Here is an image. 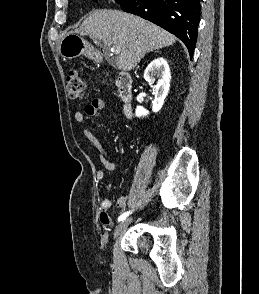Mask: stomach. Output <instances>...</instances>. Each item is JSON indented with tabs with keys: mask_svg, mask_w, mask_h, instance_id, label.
<instances>
[{
	"mask_svg": "<svg viewBox=\"0 0 259 294\" xmlns=\"http://www.w3.org/2000/svg\"><path fill=\"white\" fill-rule=\"evenodd\" d=\"M59 53L68 59L76 58L80 55L94 58L96 55L89 43L75 31H70L63 36L59 44Z\"/></svg>",
	"mask_w": 259,
	"mask_h": 294,
	"instance_id": "stomach-1",
	"label": "stomach"
}]
</instances>
